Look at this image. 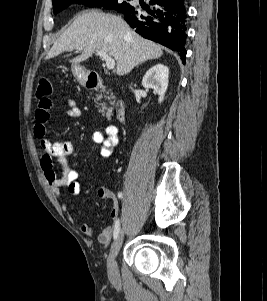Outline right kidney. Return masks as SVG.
Here are the masks:
<instances>
[{"label":"right kidney","mask_w":267,"mask_h":301,"mask_svg":"<svg viewBox=\"0 0 267 301\" xmlns=\"http://www.w3.org/2000/svg\"><path fill=\"white\" fill-rule=\"evenodd\" d=\"M168 77L169 69L163 64L153 66L143 77V87L154 89L155 93L159 95V103L164 100L168 88Z\"/></svg>","instance_id":"ca27d5eb"}]
</instances>
